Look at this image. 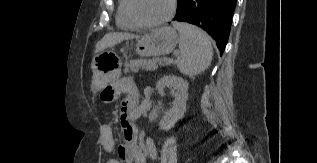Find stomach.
Returning <instances> with one entry per match:
<instances>
[{"label":"stomach","mask_w":317,"mask_h":163,"mask_svg":"<svg viewBox=\"0 0 317 163\" xmlns=\"http://www.w3.org/2000/svg\"><path fill=\"white\" fill-rule=\"evenodd\" d=\"M178 42L176 30L164 26L153 30L137 41L136 53L141 57L161 56L171 53ZM103 53L94 56L92 61L93 77L91 91L96 94L111 83L118 75L117 66H110L102 61Z\"/></svg>","instance_id":"1"}]
</instances>
